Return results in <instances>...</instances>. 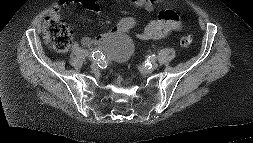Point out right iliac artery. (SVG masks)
Wrapping results in <instances>:
<instances>
[{
  "label": "right iliac artery",
  "instance_id": "1",
  "mask_svg": "<svg viewBox=\"0 0 253 143\" xmlns=\"http://www.w3.org/2000/svg\"><path fill=\"white\" fill-rule=\"evenodd\" d=\"M91 56H92V59L94 60H100L103 58V54L100 51L92 52Z\"/></svg>",
  "mask_w": 253,
  "mask_h": 143
}]
</instances>
